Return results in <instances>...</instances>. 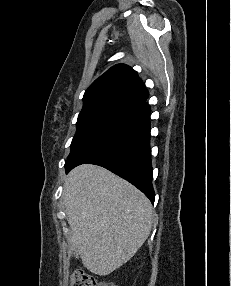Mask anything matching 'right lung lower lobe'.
Returning a JSON list of instances; mask_svg holds the SVG:
<instances>
[{"label": "right lung lower lobe", "instance_id": "98d812e1", "mask_svg": "<svg viewBox=\"0 0 231 286\" xmlns=\"http://www.w3.org/2000/svg\"><path fill=\"white\" fill-rule=\"evenodd\" d=\"M149 115L150 108L144 103L135 117L114 128L76 161L65 165L66 173L83 163L100 165L135 185L153 203Z\"/></svg>", "mask_w": 231, "mask_h": 286}]
</instances>
